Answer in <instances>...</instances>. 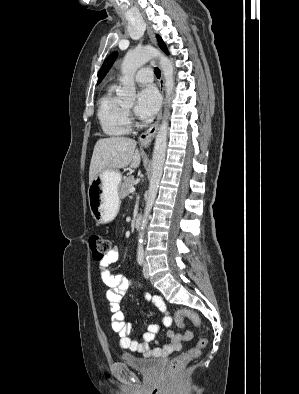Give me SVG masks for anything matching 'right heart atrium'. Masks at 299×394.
Listing matches in <instances>:
<instances>
[{
    "label": "right heart atrium",
    "instance_id": "right-heart-atrium-1",
    "mask_svg": "<svg viewBox=\"0 0 299 394\" xmlns=\"http://www.w3.org/2000/svg\"><path fill=\"white\" fill-rule=\"evenodd\" d=\"M130 116V113L128 112V117Z\"/></svg>",
    "mask_w": 299,
    "mask_h": 394
}]
</instances>
